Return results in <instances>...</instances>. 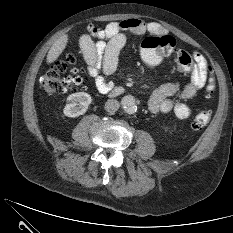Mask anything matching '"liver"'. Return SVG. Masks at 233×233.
<instances>
[{"label": "liver", "instance_id": "6515ba94", "mask_svg": "<svg viewBox=\"0 0 233 233\" xmlns=\"http://www.w3.org/2000/svg\"><path fill=\"white\" fill-rule=\"evenodd\" d=\"M68 43V35H63L57 39L51 46L47 54V63H53L62 54Z\"/></svg>", "mask_w": 233, "mask_h": 233}]
</instances>
